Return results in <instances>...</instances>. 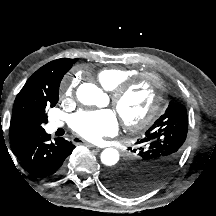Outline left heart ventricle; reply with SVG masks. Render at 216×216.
<instances>
[{
	"label": "left heart ventricle",
	"mask_w": 216,
	"mask_h": 216,
	"mask_svg": "<svg viewBox=\"0 0 216 216\" xmlns=\"http://www.w3.org/2000/svg\"><path fill=\"white\" fill-rule=\"evenodd\" d=\"M155 95V87L148 79H143L129 90L120 101L117 113L128 120H136L144 116Z\"/></svg>",
	"instance_id": "b2bd125f"
}]
</instances>
